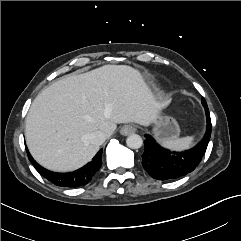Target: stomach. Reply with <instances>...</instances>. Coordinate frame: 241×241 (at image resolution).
Instances as JSON below:
<instances>
[{"mask_svg":"<svg viewBox=\"0 0 241 241\" xmlns=\"http://www.w3.org/2000/svg\"><path fill=\"white\" fill-rule=\"evenodd\" d=\"M154 137L160 141L175 139L180 134V128L177 121L166 115H159L154 121Z\"/></svg>","mask_w":241,"mask_h":241,"instance_id":"stomach-1","label":"stomach"}]
</instances>
